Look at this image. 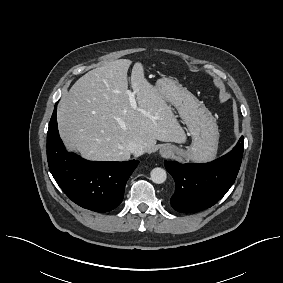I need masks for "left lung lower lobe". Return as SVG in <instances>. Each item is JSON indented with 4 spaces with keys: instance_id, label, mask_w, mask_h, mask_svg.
I'll use <instances>...</instances> for the list:
<instances>
[{
    "instance_id": "obj_1",
    "label": "left lung lower lobe",
    "mask_w": 283,
    "mask_h": 283,
    "mask_svg": "<svg viewBox=\"0 0 283 283\" xmlns=\"http://www.w3.org/2000/svg\"><path fill=\"white\" fill-rule=\"evenodd\" d=\"M244 138L226 155L205 164H180L165 161L175 181L172 207L180 213H193L217 203L233 185L244 150Z\"/></svg>"
}]
</instances>
